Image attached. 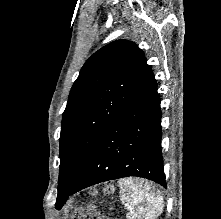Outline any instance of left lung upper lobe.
<instances>
[{"label": "left lung upper lobe", "instance_id": "obj_1", "mask_svg": "<svg viewBox=\"0 0 221 219\" xmlns=\"http://www.w3.org/2000/svg\"><path fill=\"white\" fill-rule=\"evenodd\" d=\"M152 74L143 51L127 40L104 46L86 61L62 117L57 209L65 204L106 130Z\"/></svg>", "mask_w": 221, "mask_h": 219}]
</instances>
